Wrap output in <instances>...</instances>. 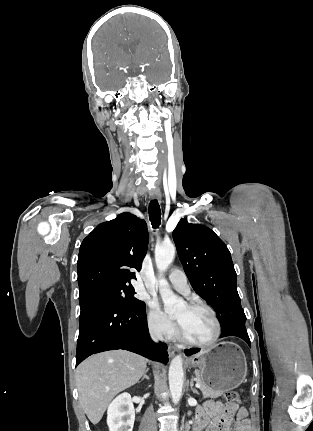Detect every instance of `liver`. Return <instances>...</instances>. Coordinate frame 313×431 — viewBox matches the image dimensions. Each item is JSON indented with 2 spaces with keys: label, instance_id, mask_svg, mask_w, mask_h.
Here are the masks:
<instances>
[{
  "label": "liver",
  "instance_id": "1",
  "mask_svg": "<svg viewBox=\"0 0 313 431\" xmlns=\"http://www.w3.org/2000/svg\"><path fill=\"white\" fill-rule=\"evenodd\" d=\"M147 360L125 350L93 355L76 369L79 402L93 424L99 423L108 404L121 391L136 384Z\"/></svg>",
  "mask_w": 313,
  "mask_h": 431
}]
</instances>
